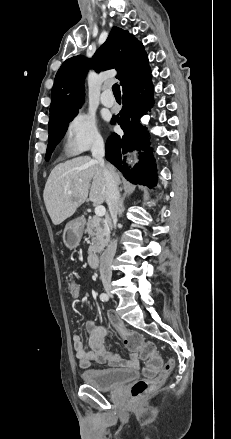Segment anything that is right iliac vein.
I'll list each match as a JSON object with an SVG mask.
<instances>
[{
  "instance_id": "obj_1",
  "label": "right iliac vein",
  "mask_w": 231,
  "mask_h": 439,
  "mask_svg": "<svg viewBox=\"0 0 231 439\" xmlns=\"http://www.w3.org/2000/svg\"><path fill=\"white\" fill-rule=\"evenodd\" d=\"M104 289H105V291H106L109 295H112V287H111L110 284H106V285L104 286Z\"/></svg>"
}]
</instances>
